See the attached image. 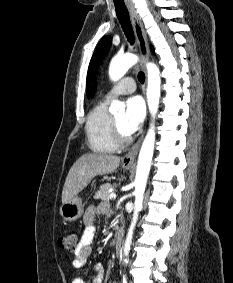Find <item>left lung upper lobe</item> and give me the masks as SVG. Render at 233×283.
Listing matches in <instances>:
<instances>
[{
    "label": "left lung upper lobe",
    "mask_w": 233,
    "mask_h": 283,
    "mask_svg": "<svg viewBox=\"0 0 233 283\" xmlns=\"http://www.w3.org/2000/svg\"><path fill=\"white\" fill-rule=\"evenodd\" d=\"M112 39L110 36H105L101 39L99 42L97 48L95 49V52L92 56V59L90 61L89 69H88V74H87V81H86V87H87V93L89 96V91H90V84L93 78L94 73L96 72V69L98 65L100 64L101 60L107 53L110 45H111ZM153 51V48H151Z\"/></svg>",
    "instance_id": "left-lung-upper-lobe-1"
}]
</instances>
